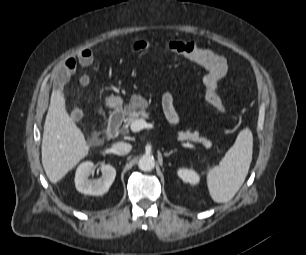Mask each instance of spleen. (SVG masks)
Returning <instances> with one entry per match:
<instances>
[{
  "instance_id": "1",
  "label": "spleen",
  "mask_w": 306,
  "mask_h": 255,
  "mask_svg": "<svg viewBox=\"0 0 306 255\" xmlns=\"http://www.w3.org/2000/svg\"><path fill=\"white\" fill-rule=\"evenodd\" d=\"M253 135L246 127L218 166L207 172V186L214 202L230 201L243 185L252 161Z\"/></svg>"
}]
</instances>
